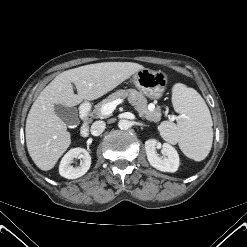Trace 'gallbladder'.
I'll return each mask as SVG.
<instances>
[{
    "label": "gallbladder",
    "mask_w": 247,
    "mask_h": 247,
    "mask_svg": "<svg viewBox=\"0 0 247 247\" xmlns=\"http://www.w3.org/2000/svg\"><path fill=\"white\" fill-rule=\"evenodd\" d=\"M54 110L56 115L67 125L77 126L79 124L77 109L75 107H66L62 104H56Z\"/></svg>",
    "instance_id": "bac80fb5"
}]
</instances>
